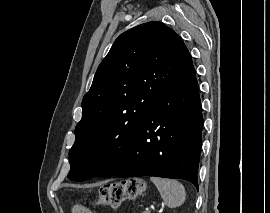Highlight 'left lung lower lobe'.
Listing matches in <instances>:
<instances>
[{"label": "left lung lower lobe", "instance_id": "0a47b994", "mask_svg": "<svg viewBox=\"0 0 270 213\" xmlns=\"http://www.w3.org/2000/svg\"><path fill=\"white\" fill-rule=\"evenodd\" d=\"M203 116L194 66L183 70L152 112L91 178L158 176L184 179L198 188Z\"/></svg>", "mask_w": 270, "mask_h": 213}]
</instances>
